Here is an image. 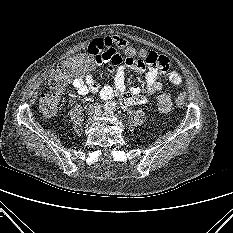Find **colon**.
Masks as SVG:
<instances>
[{
    "instance_id": "obj_1",
    "label": "colon",
    "mask_w": 233,
    "mask_h": 233,
    "mask_svg": "<svg viewBox=\"0 0 233 233\" xmlns=\"http://www.w3.org/2000/svg\"><path fill=\"white\" fill-rule=\"evenodd\" d=\"M127 58L131 62L141 65L163 66L161 61L147 57L145 51L136 50L125 45L123 47ZM99 62V58L92 52L86 51L75 55L60 63L49 75L48 87L51 92H45L40 96L39 107L45 115H53L57 108L60 92L75 76L82 75L86 70L91 69ZM172 96L163 92L157 96V107L161 112H168L172 108Z\"/></svg>"
}]
</instances>
